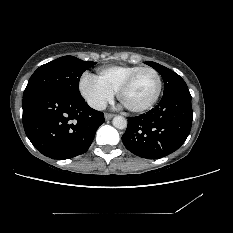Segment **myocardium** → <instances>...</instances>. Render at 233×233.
<instances>
[{
  "label": "myocardium",
  "mask_w": 233,
  "mask_h": 233,
  "mask_svg": "<svg viewBox=\"0 0 233 233\" xmlns=\"http://www.w3.org/2000/svg\"><path fill=\"white\" fill-rule=\"evenodd\" d=\"M147 71H151L155 74L156 78H157V89H156V93L154 95V97L145 105L140 106V107H129V106H125L122 103V97L123 94L133 85V83L136 81V79L143 74L144 72ZM162 91V78L160 73L153 67H143L141 69H139L138 71L132 73L119 87L118 91H117V98L119 100V102L130 112L132 113H141L144 111L149 110L150 108H152L156 102L158 101L160 94Z\"/></svg>",
  "instance_id": "myocardium-1"
}]
</instances>
